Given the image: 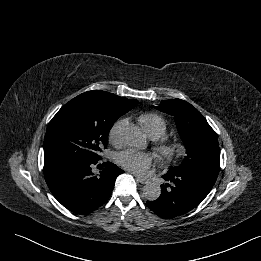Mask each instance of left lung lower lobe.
Segmentation results:
<instances>
[{
    "instance_id": "0a47b994",
    "label": "left lung lower lobe",
    "mask_w": 261,
    "mask_h": 261,
    "mask_svg": "<svg viewBox=\"0 0 261 261\" xmlns=\"http://www.w3.org/2000/svg\"><path fill=\"white\" fill-rule=\"evenodd\" d=\"M217 174L200 168H186L162 176L161 195L147 206L158 216L174 218L197 207L214 186Z\"/></svg>"
}]
</instances>
